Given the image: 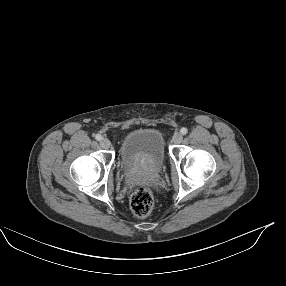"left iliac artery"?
Returning a JSON list of instances; mask_svg holds the SVG:
<instances>
[{
  "label": "left iliac artery",
  "instance_id": "left-iliac-artery-1",
  "mask_svg": "<svg viewBox=\"0 0 286 286\" xmlns=\"http://www.w3.org/2000/svg\"><path fill=\"white\" fill-rule=\"evenodd\" d=\"M180 132H181L183 135H185V134L188 133V129L185 128V127H183V128L180 130Z\"/></svg>",
  "mask_w": 286,
  "mask_h": 286
}]
</instances>
